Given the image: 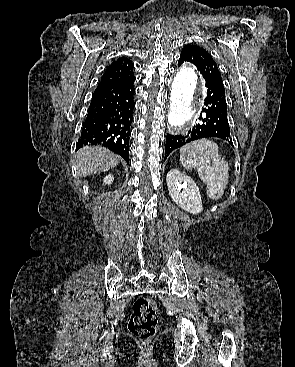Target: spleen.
I'll list each match as a JSON object with an SVG mask.
<instances>
[{
    "label": "spleen",
    "mask_w": 295,
    "mask_h": 367,
    "mask_svg": "<svg viewBox=\"0 0 295 367\" xmlns=\"http://www.w3.org/2000/svg\"><path fill=\"white\" fill-rule=\"evenodd\" d=\"M180 160L185 169H197L210 199L219 200L223 196L229 179V165L221 160L215 142L201 139L186 144L180 149Z\"/></svg>",
    "instance_id": "3e777b00"
}]
</instances>
